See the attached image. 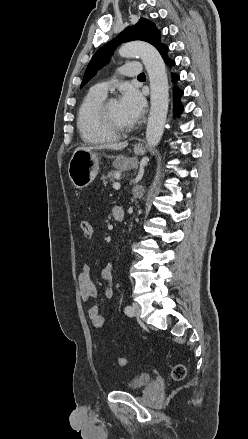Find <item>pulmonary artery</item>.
<instances>
[{
  "label": "pulmonary artery",
  "instance_id": "pulmonary-artery-1",
  "mask_svg": "<svg viewBox=\"0 0 248 439\" xmlns=\"http://www.w3.org/2000/svg\"><path fill=\"white\" fill-rule=\"evenodd\" d=\"M121 72L127 77H134L142 73V67L139 62H128L121 68ZM108 87L109 84L107 82H103L94 86V89L99 93L106 95Z\"/></svg>",
  "mask_w": 248,
  "mask_h": 439
}]
</instances>
